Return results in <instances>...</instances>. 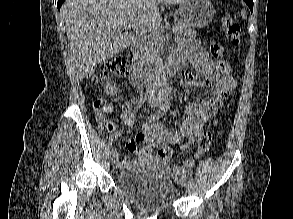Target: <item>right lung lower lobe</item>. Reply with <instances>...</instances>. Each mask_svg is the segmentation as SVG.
<instances>
[{
  "mask_svg": "<svg viewBox=\"0 0 293 219\" xmlns=\"http://www.w3.org/2000/svg\"><path fill=\"white\" fill-rule=\"evenodd\" d=\"M63 2H64V0H58L57 7H58L59 10H60V7H61Z\"/></svg>",
  "mask_w": 293,
  "mask_h": 219,
  "instance_id": "98d812e1",
  "label": "right lung lower lobe"
}]
</instances>
